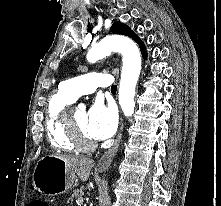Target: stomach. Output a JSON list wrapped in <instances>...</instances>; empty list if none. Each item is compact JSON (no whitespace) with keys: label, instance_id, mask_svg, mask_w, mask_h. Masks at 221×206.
<instances>
[{"label":"stomach","instance_id":"stomach-1","mask_svg":"<svg viewBox=\"0 0 221 206\" xmlns=\"http://www.w3.org/2000/svg\"><path fill=\"white\" fill-rule=\"evenodd\" d=\"M76 179L65 161L56 156L42 157L33 173L34 188L42 194L56 195L67 192Z\"/></svg>","mask_w":221,"mask_h":206}]
</instances>
